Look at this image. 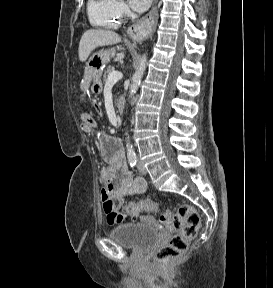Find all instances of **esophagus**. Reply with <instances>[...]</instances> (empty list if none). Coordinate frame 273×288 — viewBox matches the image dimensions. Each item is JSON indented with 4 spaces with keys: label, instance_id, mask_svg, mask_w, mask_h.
Segmentation results:
<instances>
[{
    "label": "esophagus",
    "instance_id": "1",
    "mask_svg": "<svg viewBox=\"0 0 273 288\" xmlns=\"http://www.w3.org/2000/svg\"><path fill=\"white\" fill-rule=\"evenodd\" d=\"M158 20L157 0L154 2L152 9L142 18L138 19L133 25H131L127 33L134 40H140L148 34H152L155 31L156 23Z\"/></svg>",
    "mask_w": 273,
    "mask_h": 288
}]
</instances>
